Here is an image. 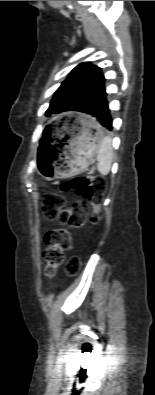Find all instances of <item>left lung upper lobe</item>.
<instances>
[{
	"label": "left lung upper lobe",
	"instance_id": "5c2ea615",
	"mask_svg": "<svg viewBox=\"0 0 155 395\" xmlns=\"http://www.w3.org/2000/svg\"><path fill=\"white\" fill-rule=\"evenodd\" d=\"M105 81L101 68L84 62L76 66L55 92L46 115L64 111H81L86 97Z\"/></svg>",
	"mask_w": 155,
	"mask_h": 395
}]
</instances>
